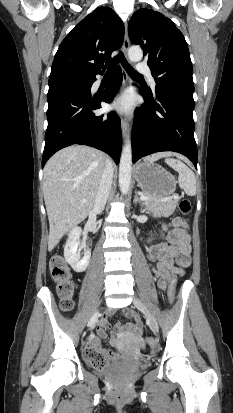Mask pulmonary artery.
Instances as JSON below:
<instances>
[{"instance_id": "obj_1", "label": "pulmonary artery", "mask_w": 233, "mask_h": 413, "mask_svg": "<svg viewBox=\"0 0 233 413\" xmlns=\"http://www.w3.org/2000/svg\"><path fill=\"white\" fill-rule=\"evenodd\" d=\"M138 70H139L141 73L146 74V75L148 76V78H149V82H150L151 86L155 87L156 82H155L154 78L152 77L149 68H148L147 66H145V65L140 64V65L138 66Z\"/></svg>"}]
</instances>
